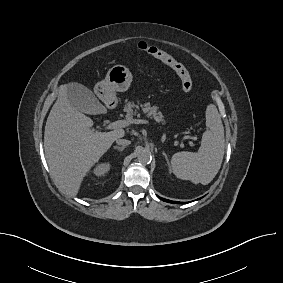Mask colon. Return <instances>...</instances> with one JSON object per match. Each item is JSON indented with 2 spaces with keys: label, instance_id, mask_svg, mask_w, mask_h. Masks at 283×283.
Wrapping results in <instances>:
<instances>
[{
  "label": "colon",
  "instance_id": "5ec220e1",
  "mask_svg": "<svg viewBox=\"0 0 283 283\" xmlns=\"http://www.w3.org/2000/svg\"><path fill=\"white\" fill-rule=\"evenodd\" d=\"M138 49L142 52L147 53L148 55L158 59L165 65H167L170 69H172L177 77L180 80L182 90L186 93H189L193 89V80L192 77L187 70V68L177 61L170 53L166 52L162 48L151 45L146 42H139L137 45Z\"/></svg>",
  "mask_w": 283,
  "mask_h": 283
}]
</instances>
